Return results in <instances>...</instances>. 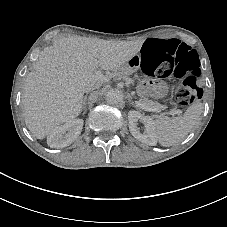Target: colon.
<instances>
[{
    "label": "colon",
    "instance_id": "1",
    "mask_svg": "<svg viewBox=\"0 0 227 227\" xmlns=\"http://www.w3.org/2000/svg\"><path fill=\"white\" fill-rule=\"evenodd\" d=\"M142 66L148 75L179 80L173 93L179 106H187L202 96L197 85L201 71L198 55L186 44L174 39L146 40L141 50Z\"/></svg>",
    "mask_w": 227,
    "mask_h": 227
}]
</instances>
